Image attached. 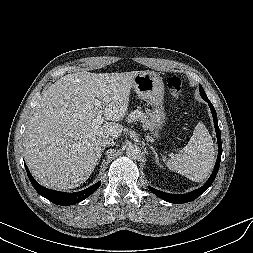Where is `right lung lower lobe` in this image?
<instances>
[{"instance_id":"98d812e1","label":"right lung lower lobe","mask_w":253,"mask_h":253,"mask_svg":"<svg viewBox=\"0 0 253 253\" xmlns=\"http://www.w3.org/2000/svg\"><path fill=\"white\" fill-rule=\"evenodd\" d=\"M25 169L27 171V175L29 177L30 182L32 183L35 190L43 197L48 199L49 201L57 204V205H73L76 204L88 196H90L101 184V182H97L94 185L90 186L89 188L82 190L76 193H64L59 192L51 189H47L41 185H39L35 179L30 174L26 164Z\"/></svg>"}]
</instances>
